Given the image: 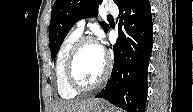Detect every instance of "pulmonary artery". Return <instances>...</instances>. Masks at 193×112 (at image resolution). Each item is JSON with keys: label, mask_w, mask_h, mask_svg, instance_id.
Here are the masks:
<instances>
[{"label": "pulmonary artery", "mask_w": 193, "mask_h": 112, "mask_svg": "<svg viewBox=\"0 0 193 112\" xmlns=\"http://www.w3.org/2000/svg\"><path fill=\"white\" fill-rule=\"evenodd\" d=\"M106 10L112 14V15H117L118 14V9L117 7L114 5V4H111V3H108L106 5ZM85 25H86V20L85 19H81L79 20L76 24H75V27H74V31L79 33V34H82V32L84 31L85 29Z\"/></svg>", "instance_id": "1"}]
</instances>
